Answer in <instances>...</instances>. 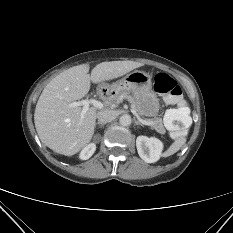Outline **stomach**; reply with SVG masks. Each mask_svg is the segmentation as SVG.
<instances>
[{
	"label": "stomach",
	"instance_id": "1",
	"mask_svg": "<svg viewBox=\"0 0 233 233\" xmlns=\"http://www.w3.org/2000/svg\"><path fill=\"white\" fill-rule=\"evenodd\" d=\"M101 88L116 94L131 92L141 115L154 117L159 112L160 103L156 93L152 91L151 76L144 71L135 70L111 85H102Z\"/></svg>",
	"mask_w": 233,
	"mask_h": 233
}]
</instances>
